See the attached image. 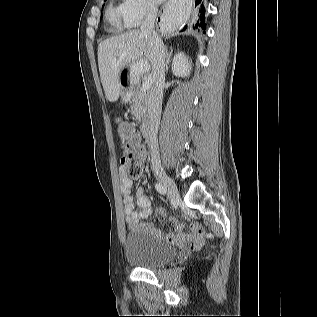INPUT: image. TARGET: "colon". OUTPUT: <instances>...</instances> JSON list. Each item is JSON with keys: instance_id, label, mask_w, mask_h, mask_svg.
Returning a JSON list of instances; mask_svg holds the SVG:
<instances>
[{"instance_id": "1", "label": "colon", "mask_w": 317, "mask_h": 317, "mask_svg": "<svg viewBox=\"0 0 317 317\" xmlns=\"http://www.w3.org/2000/svg\"><path fill=\"white\" fill-rule=\"evenodd\" d=\"M118 130L122 140L124 155L122 164L130 177H137L141 173V147L138 137L134 133L132 127L123 121H119ZM191 248L195 245H189Z\"/></svg>"}]
</instances>
